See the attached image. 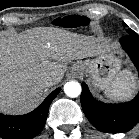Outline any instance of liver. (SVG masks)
I'll list each match as a JSON object with an SVG mask.
<instances>
[{"label":"liver","mask_w":139,"mask_h":139,"mask_svg":"<svg viewBox=\"0 0 139 139\" xmlns=\"http://www.w3.org/2000/svg\"><path fill=\"white\" fill-rule=\"evenodd\" d=\"M99 40L69 31L39 27L25 34H0V112L23 113L34 108L43 93L39 81H61L66 63L98 55ZM51 60V61H50Z\"/></svg>","instance_id":"1"}]
</instances>
